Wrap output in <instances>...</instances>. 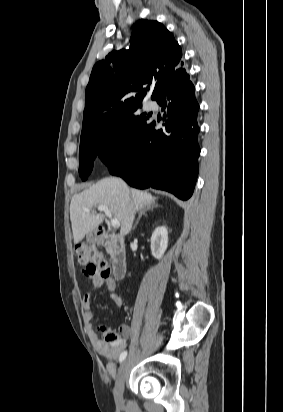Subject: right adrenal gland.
Segmentation results:
<instances>
[{
    "label": "right adrenal gland",
    "mask_w": 283,
    "mask_h": 412,
    "mask_svg": "<svg viewBox=\"0 0 283 412\" xmlns=\"http://www.w3.org/2000/svg\"><path fill=\"white\" fill-rule=\"evenodd\" d=\"M152 207H153V206H152ZM150 208H151V207H146V208H144V209H142V210L140 211V213L138 214V217H137L136 223H135V225H134V227H133V228H135V227L138 225V223H139V221H140V219H141L142 215H145L146 211H148Z\"/></svg>",
    "instance_id": "2a0ac1e0"
}]
</instances>
